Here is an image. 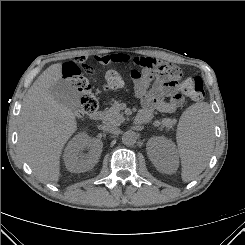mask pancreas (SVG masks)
I'll use <instances>...</instances> for the list:
<instances>
[{
  "label": "pancreas",
  "instance_id": "1",
  "mask_svg": "<svg viewBox=\"0 0 245 245\" xmlns=\"http://www.w3.org/2000/svg\"><path fill=\"white\" fill-rule=\"evenodd\" d=\"M120 104L118 101H115L112 106L106 109L102 115V121L106 125L117 126L124 121L123 114L120 112ZM176 124L175 119L164 118L162 121H156L155 126L166 127L168 129L172 128Z\"/></svg>",
  "mask_w": 245,
  "mask_h": 245
}]
</instances>
